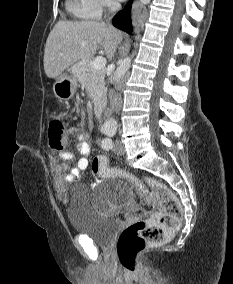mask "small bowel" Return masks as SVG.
<instances>
[{
    "label": "small bowel",
    "mask_w": 233,
    "mask_h": 284,
    "mask_svg": "<svg viewBox=\"0 0 233 284\" xmlns=\"http://www.w3.org/2000/svg\"><path fill=\"white\" fill-rule=\"evenodd\" d=\"M68 134L78 141L77 150L81 158L74 167L69 168L68 164L74 159V154L70 151L59 153L58 159L53 162L52 169L54 185L59 189H62L66 183L76 181L80 173L88 168V156L92 150V142L89 135L83 132L81 128L71 127Z\"/></svg>",
    "instance_id": "obj_1"
}]
</instances>
